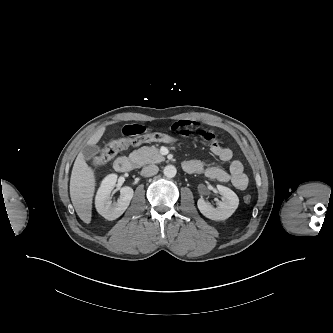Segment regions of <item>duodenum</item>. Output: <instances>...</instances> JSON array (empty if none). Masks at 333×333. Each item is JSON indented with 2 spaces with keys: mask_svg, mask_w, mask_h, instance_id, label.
Listing matches in <instances>:
<instances>
[{
  "mask_svg": "<svg viewBox=\"0 0 333 333\" xmlns=\"http://www.w3.org/2000/svg\"><path fill=\"white\" fill-rule=\"evenodd\" d=\"M134 165H135L134 160L128 157H119L114 162L115 170L121 173H127L131 171Z\"/></svg>",
  "mask_w": 333,
  "mask_h": 333,
  "instance_id": "410a0bca",
  "label": "duodenum"
}]
</instances>
